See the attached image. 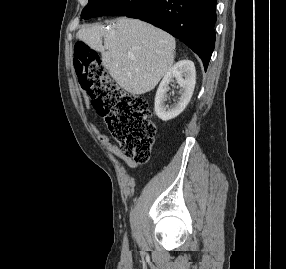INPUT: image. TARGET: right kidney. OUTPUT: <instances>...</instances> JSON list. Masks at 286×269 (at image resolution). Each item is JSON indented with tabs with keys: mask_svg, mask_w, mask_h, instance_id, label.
I'll list each match as a JSON object with an SVG mask.
<instances>
[{
	"mask_svg": "<svg viewBox=\"0 0 286 269\" xmlns=\"http://www.w3.org/2000/svg\"><path fill=\"white\" fill-rule=\"evenodd\" d=\"M176 80L181 88L180 98L171 109L165 104L169 84ZM196 83V71L194 63L190 60H182L173 65L162 79L155 96V113L163 121L177 117L188 105Z\"/></svg>",
	"mask_w": 286,
	"mask_h": 269,
	"instance_id": "right-kidney-1",
	"label": "right kidney"
}]
</instances>
